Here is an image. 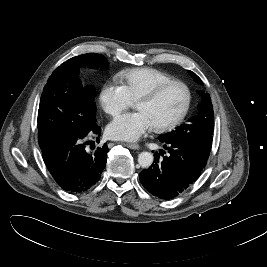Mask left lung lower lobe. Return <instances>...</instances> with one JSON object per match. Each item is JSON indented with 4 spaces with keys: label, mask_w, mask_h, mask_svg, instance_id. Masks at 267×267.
Returning <instances> with one entry per match:
<instances>
[{
    "label": "left lung lower lobe",
    "mask_w": 267,
    "mask_h": 267,
    "mask_svg": "<svg viewBox=\"0 0 267 267\" xmlns=\"http://www.w3.org/2000/svg\"><path fill=\"white\" fill-rule=\"evenodd\" d=\"M168 154L160 150L155 153L154 163L140 172L142 185L154 196L172 199L181 194L200 176L208 157L187 143L164 142Z\"/></svg>",
    "instance_id": "1"
}]
</instances>
